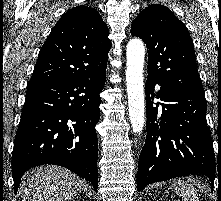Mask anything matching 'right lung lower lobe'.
<instances>
[{"label":"right lung lower lobe","mask_w":221,"mask_h":201,"mask_svg":"<svg viewBox=\"0 0 221 201\" xmlns=\"http://www.w3.org/2000/svg\"><path fill=\"white\" fill-rule=\"evenodd\" d=\"M106 71L60 82H28L12 153L17 192L21 177L42 164L63 166L97 191L99 96Z\"/></svg>","instance_id":"right-lung-lower-lobe-1"}]
</instances>
